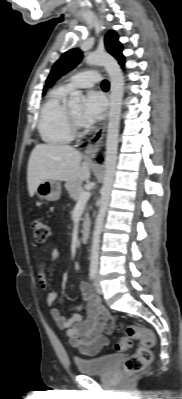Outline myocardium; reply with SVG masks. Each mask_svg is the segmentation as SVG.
<instances>
[{
  "label": "myocardium",
  "instance_id": "obj_1",
  "mask_svg": "<svg viewBox=\"0 0 182 399\" xmlns=\"http://www.w3.org/2000/svg\"><path fill=\"white\" fill-rule=\"evenodd\" d=\"M69 127L73 135L82 136L85 133L83 125L72 115L71 111L68 109L67 112Z\"/></svg>",
  "mask_w": 182,
  "mask_h": 399
}]
</instances>
